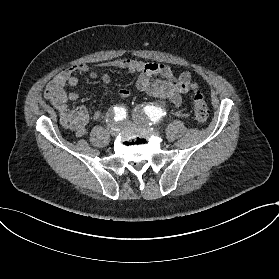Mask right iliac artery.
I'll list each match as a JSON object with an SVG mask.
<instances>
[{
    "instance_id": "right-iliac-artery-1",
    "label": "right iliac artery",
    "mask_w": 279,
    "mask_h": 279,
    "mask_svg": "<svg viewBox=\"0 0 279 279\" xmlns=\"http://www.w3.org/2000/svg\"><path fill=\"white\" fill-rule=\"evenodd\" d=\"M127 114L128 111L124 107L115 106L111 110V116L116 122L124 120Z\"/></svg>"
}]
</instances>
